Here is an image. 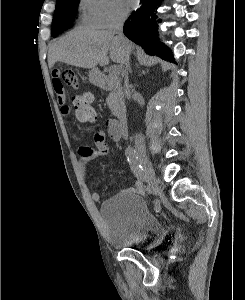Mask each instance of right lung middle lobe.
Instances as JSON below:
<instances>
[{
	"label": "right lung middle lobe",
	"instance_id": "1",
	"mask_svg": "<svg viewBox=\"0 0 245 300\" xmlns=\"http://www.w3.org/2000/svg\"><path fill=\"white\" fill-rule=\"evenodd\" d=\"M79 0H57L52 21L51 35L56 37L63 28L71 24L78 8Z\"/></svg>",
	"mask_w": 245,
	"mask_h": 300
}]
</instances>
